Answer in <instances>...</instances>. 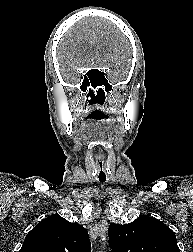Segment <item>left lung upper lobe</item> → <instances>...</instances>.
Listing matches in <instances>:
<instances>
[{"label": "left lung upper lobe", "instance_id": "1", "mask_svg": "<svg viewBox=\"0 0 193 252\" xmlns=\"http://www.w3.org/2000/svg\"><path fill=\"white\" fill-rule=\"evenodd\" d=\"M108 235L112 252H180L175 233L147 215L129 224H111Z\"/></svg>", "mask_w": 193, "mask_h": 252}]
</instances>
